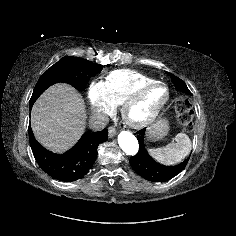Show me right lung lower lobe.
I'll return each instance as SVG.
<instances>
[{
    "label": "right lung lower lobe",
    "instance_id": "right-lung-lower-lobe-1",
    "mask_svg": "<svg viewBox=\"0 0 236 236\" xmlns=\"http://www.w3.org/2000/svg\"><path fill=\"white\" fill-rule=\"evenodd\" d=\"M28 132L30 146L40 168L52 178L64 182L76 181L87 174L96 160L98 145L108 140L107 129L85 133L68 152L59 155L40 145L30 126Z\"/></svg>",
    "mask_w": 236,
    "mask_h": 236
}]
</instances>
